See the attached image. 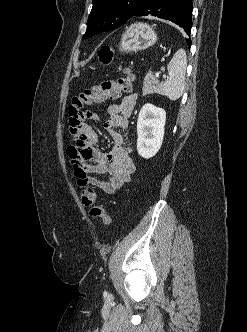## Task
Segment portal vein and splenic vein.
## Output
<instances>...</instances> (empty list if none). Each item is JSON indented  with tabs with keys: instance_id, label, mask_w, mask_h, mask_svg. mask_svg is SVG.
<instances>
[{
	"instance_id": "18ae733b",
	"label": "portal vein and splenic vein",
	"mask_w": 247,
	"mask_h": 332,
	"mask_svg": "<svg viewBox=\"0 0 247 332\" xmlns=\"http://www.w3.org/2000/svg\"><path fill=\"white\" fill-rule=\"evenodd\" d=\"M161 72H156L155 77H159Z\"/></svg>"
}]
</instances>
